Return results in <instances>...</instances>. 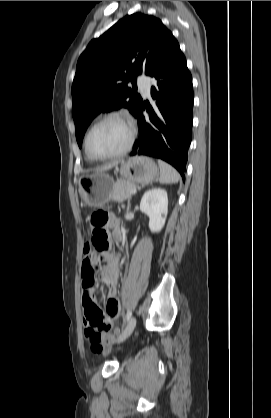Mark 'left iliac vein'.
<instances>
[{
  "instance_id": "1",
  "label": "left iliac vein",
  "mask_w": 271,
  "mask_h": 418,
  "mask_svg": "<svg viewBox=\"0 0 271 418\" xmlns=\"http://www.w3.org/2000/svg\"><path fill=\"white\" fill-rule=\"evenodd\" d=\"M135 326H136V319H135V317H132L130 319V321L128 322V324L123 329L120 336L118 337L117 342L120 343V342H123L124 340H126L131 335V333L133 332Z\"/></svg>"
}]
</instances>
